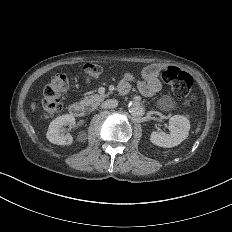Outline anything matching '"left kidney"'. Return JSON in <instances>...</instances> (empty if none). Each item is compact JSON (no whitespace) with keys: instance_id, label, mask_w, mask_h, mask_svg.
Segmentation results:
<instances>
[{"instance_id":"1","label":"left kidney","mask_w":232,"mask_h":232,"mask_svg":"<svg viewBox=\"0 0 232 232\" xmlns=\"http://www.w3.org/2000/svg\"><path fill=\"white\" fill-rule=\"evenodd\" d=\"M169 130L170 134L153 131L150 141L159 147H175L188 137L190 122L184 116L174 115L169 119Z\"/></svg>"}]
</instances>
